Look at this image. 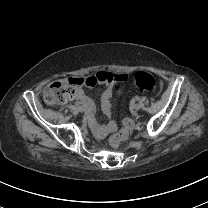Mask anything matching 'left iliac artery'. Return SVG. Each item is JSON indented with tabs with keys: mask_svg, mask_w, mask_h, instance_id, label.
<instances>
[{
	"mask_svg": "<svg viewBox=\"0 0 208 208\" xmlns=\"http://www.w3.org/2000/svg\"><path fill=\"white\" fill-rule=\"evenodd\" d=\"M136 100H139V97H136Z\"/></svg>",
	"mask_w": 208,
	"mask_h": 208,
	"instance_id": "1",
	"label": "left iliac artery"
}]
</instances>
